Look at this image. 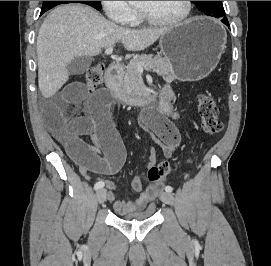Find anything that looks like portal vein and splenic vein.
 <instances>
[{
  "instance_id": "obj_1",
  "label": "portal vein and splenic vein",
  "mask_w": 271,
  "mask_h": 266,
  "mask_svg": "<svg viewBox=\"0 0 271 266\" xmlns=\"http://www.w3.org/2000/svg\"><path fill=\"white\" fill-rule=\"evenodd\" d=\"M112 52H113V48H112V47H108V48L105 50V54H107V55L112 54ZM144 65H145L144 63H138V64H137V69H138V71H139L140 73L143 72L142 66H144Z\"/></svg>"
}]
</instances>
